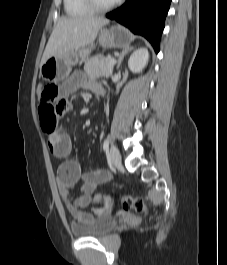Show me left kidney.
<instances>
[{
    "instance_id": "1",
    "label": "left kidney",
    "mask_w": 227,
    "mask_h": 265,
    "mask_svg": "<svg viewBox=\"0 0 227 265\" xmlns=\"http://www.w3.org/2000/svg\"><path fill=\"white\" fill-rule=\"evenodd\" d=\"M148 59V50L144 47L139 48L131 54L128 60V67L133 73H140L147 65Z\"/></svg>"
}]
</instances>
